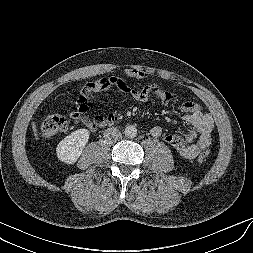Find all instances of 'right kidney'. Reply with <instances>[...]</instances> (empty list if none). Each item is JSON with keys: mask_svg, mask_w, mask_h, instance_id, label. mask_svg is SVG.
I'll return each mask as SVG.
<instances>
[{"mask_svg": "<svg viewBox=\"0 0 253 253\" xmlns=\"http://www.w3.org/2000/svg\"><path fill=\"white\" fill-rule=\"evenodd\" d=\"M89 136L87 129H78L66 136L56 147L58 159L65 164H74L87 144Z\"/></svg>", "mask_w": 253, "mask_h": 253, "instance_id": "ca27d5eb", "label": "right kidney"}]
</instances>
